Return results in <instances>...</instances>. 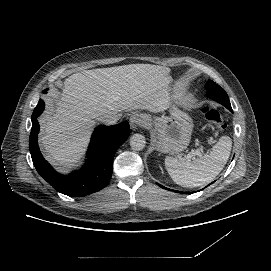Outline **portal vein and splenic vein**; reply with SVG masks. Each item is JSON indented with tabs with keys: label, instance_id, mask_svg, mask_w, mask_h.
<instances>
[{
	"label": "portal vein and splenic vein",
	"instance_id": "obj_1",
	"mask_svg": "<svg viewBox=\"0 0 271 271\" xmlns=\"http://www.w3.org/2000/svg\"><path fill=\"white\" fill-rule=\"evenodd\" d=\"M195 156L201 157V152H200L199 149L193 150V151L191 152V154L188 155L189 158L195 157Z\"/></svg>",
	"mask_w": 271,
	"mask_h": 271
}]
</instances>
